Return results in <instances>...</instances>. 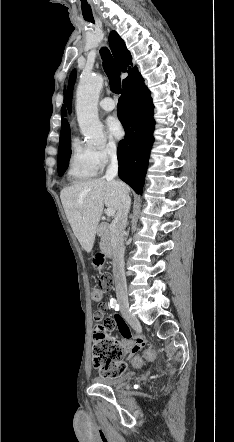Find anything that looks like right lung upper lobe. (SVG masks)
<instances>
[{"mask_svg":"<svg viewBox=\"0 0 234 442\" xmlns=\"http://www.w3.org/2000/svg\"><path fill=\"white\" fill-rule=\"evenodd\" d=\"M109 46L114 55L115 60L117 61L122 72H127L129 75L126 79L123 80V83L131 78L133 75L139 73L136 66L132 67V57L130 52L127 50L124 41L120 38V36L112 31L109 36ZM64 103H65V92H64ZM61 115L63 117L66 116V108L65 105L62 106ZM62 117L61 124V133H60V142L59 146L64 145L68 140H70V127L65 118Z\"/></svg>","mask_w":234,"mask_h":442,"instance_id":"cb5924a9","label":"right lung upper lobe"}]
</instances>
